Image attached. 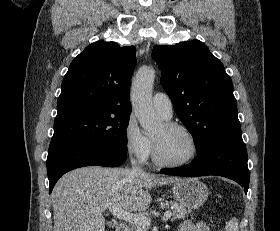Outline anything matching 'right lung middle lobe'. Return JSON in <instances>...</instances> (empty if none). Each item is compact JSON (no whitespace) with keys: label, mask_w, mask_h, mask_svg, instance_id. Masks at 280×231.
<instances>
[{"label":"right lung middle lobe","mask_w":280,"mask_h":231,"mask_svg":"<svg viewBox=\"0 0 280 231\" xmlns=\"http://www.w3.org/2000/svg\"><path fill=\"white\" fill-rule=\"evenodd\" d=\"M129 113H108L54 122L53 138H75L127 154Z\"/></svg>","instance_id":"right-lung-middle-lobe-1"}]
</instances>
